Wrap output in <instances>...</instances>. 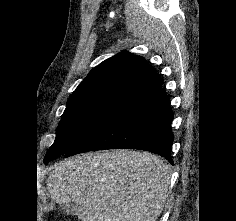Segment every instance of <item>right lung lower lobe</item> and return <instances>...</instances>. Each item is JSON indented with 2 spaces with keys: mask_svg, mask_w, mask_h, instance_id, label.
I'll return each mask as SVG.
<instances>
[{
  "mask_svg": "<svg viewBox=\"0 0 236 221\" xmlns=\"http://www.w3.org/2000/svg\"><path fill=\"white\" fill-rule=\"evenodd\" d=\"M173 112L162 80L137 92L102 121L65 157L103 149H138L165 157L171 164Z\"/></svg>",
  "mask_w": 236,
  "mask_h": 221,
  "instance_id": "98d812e1",
  "label": "right lung lower lobe"
}]
</instances>
